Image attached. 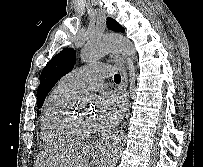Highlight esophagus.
I'll list each match as a JSON object with an SVG mask.
<instances>
[{
    "mask_svg": "<svg viewBox=\"0 0 203 167\" xmlns=\"http://www.w3.org/2000/svg\"><path fill=\"white\" fill-rule=\"evenodd\" d=\"M113 59L116 63V66L118 67V70H119V72L121 74V78H122L121 85H120V91L124 98L123 109H122V112L119 115L117 121L113 125L112 129L109 131V133L103 135L95 144L94 149H93L95 152H101L104 149L107 138L114 130H116L118 128V126L120 125L121 121L123 120V118L128 110V107H129V91H128L129 77H128V73H127V69H126V64H125L124 59L118 54L113 55Z\"/></svg>",
    "mask_w": 203,
    "mask_h": 167,
    "instance_id": "34e87169",
    "label": "esophagus"
}]
</instances>
